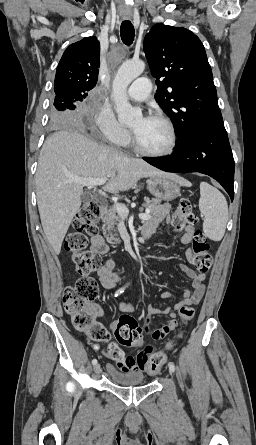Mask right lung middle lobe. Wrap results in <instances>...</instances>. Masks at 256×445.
<instances>
[{
  "mask_svg": "<svg viewBox=\"0 0 256 445\" xmlns=\"http://www.w3.org/2000/svg\"><path fill=\"white\" fill-rule=\"evenodd\" d=\"M85 96L65 90L55 93V101L50 111V119L53 123H68L73 120L72 110L76 109V103L83 101Z\"/></svg>",
  "mask_w": 256,
  "mask_h": 445,
  "instance_id": "dd1d6c3e",
  "label": "right lung middle lobe"
}]
</instances>
